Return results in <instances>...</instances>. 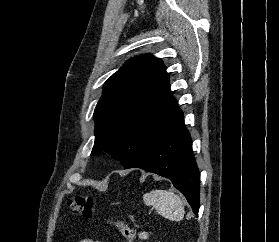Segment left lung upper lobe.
Instances as JSON below:
<instances>
[{"label":"left lung upper lobe","mask_w":279,"mask_h":242,"mask_svg":"<svg viewBox=\"0 0 279 242\" xmlns=\"http://www.w3.org/2000/svg\"><path fill=\"white\" fill-rule=\"evenodd\" d=\"M182 115L162 61L152 55L132 58L105 82L94 111L91 155L105 151L126 166Z\"/></svg>","instance_id":"5c2ea615"}]
</instances>
